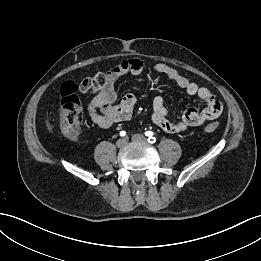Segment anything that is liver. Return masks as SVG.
<instances>
[{
    "mask_svg": "<svg viewBox=\"0 0 261 261\" xmlns=\"http://www.w3.org/2000/svg\"><path fill=\"white\" fill-rule=\"evenodd\" d=\"M45 125L49 132H53V128H52L51 124L48 122V120H45Z\"/></svg>",
    "mask_w": 261,
    "mask_h": 261,
    "instance_id": "1",
    "label": "liver"
}]
</instances>
